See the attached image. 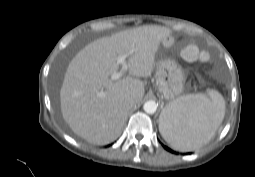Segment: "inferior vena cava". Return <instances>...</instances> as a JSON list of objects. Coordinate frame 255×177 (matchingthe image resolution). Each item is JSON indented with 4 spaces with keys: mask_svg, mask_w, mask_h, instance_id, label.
<instances>
[{
    "mask_svg": "<svg viewBox=\"0 0 255 177\" xmlns=\"http://www.w3.org/2000/svg\"><path fill=\"white\" fill-rule=\"evenodd\" d=\"M135 105V101L132 98H129L125 101V106L128 109H131Z\"/></svg>",
    "mask_w": 255,
    "mask_h": 177,
    "instance_id": "602c4592",
    "label": "inferior vena cava"
}]
</instances>
